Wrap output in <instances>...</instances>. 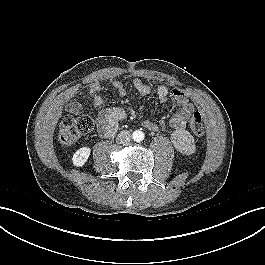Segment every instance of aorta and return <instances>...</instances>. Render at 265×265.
<instances>
[{"label": "aorta", "mask_w": 265, "mask_h": 265, "mask_svg": "<svg viewBox=\"0 0 265 265\" xmlns=\"http://www.w3.org/2000/svg\"><path fill=\"white\" fill-rule=\"evenodd\" d=\"M133 140L136 142H141L144 139V133L142 131L136 130L132 134Z\"/></svg>", "instance_id": "aorta-1"}]
</instances>
